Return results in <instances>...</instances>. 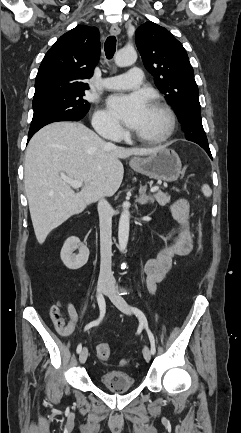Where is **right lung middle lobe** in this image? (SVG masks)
Listing matches in <instances>:
<instances>
[{
  "label": "right lung middle lobe",
  "instance_id": "dd1d6c3e",
  "mask_svg": "<svg viewBox=\"0 0 241 433\" xmlns=\"http://www.w3.org/2000/svg\"><path fill=\"white\" fill-rule=\"evenodd\" d=\"M84 92L49 93L33 99V119L29 133L63 119H82L89 110Z\"/></svg>",
  "mask_w": 241,
  "mask_h": 433
}]
</instances>
